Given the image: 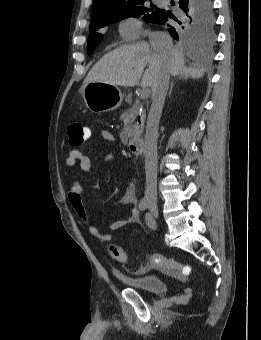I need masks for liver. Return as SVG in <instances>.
<instances>
[{
  "label": "liver",
  "mask_w": 261,
  "mask_h": 340,
  "mask_svg": "<svg viewBox=\"0 0 261 340\" xmlns=\"http://www.w3.org/2000/svg\"><path fill=\"white\" fill-rule=\"evenodd\" d=\"M148 66L144 72L145 67ZM180 78H201L204 70L187 68L181 52L173 49L166 57H160L147 42L119 47L105 54L89 71L84 85L102 82L116 86L153 87L163 73Z\"/></svg>",
  "instance_id": "6515ba94"
}]
</instances>
